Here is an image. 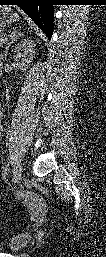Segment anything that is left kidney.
I'll use <instances>...</instances> for the list:
<instances>
[{"mask_svg":"<svg viewBox=\"0 0 106 257\" xmlns=\"http://www.w3.org/2000/svg\"><path fill=\"white\" fill-rule=\"evenodd\" d=\"M34 53V44L32 41L25 39L15 48L13 58L16 65L22 70H26V68H28V64L33 59Z\"/></svg>","mask_w":106,"mask_h":257,"instance_id":"left-kidney-1","label":"left kidney"}]
</instances>
